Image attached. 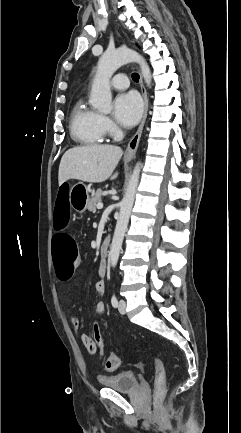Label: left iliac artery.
Masks as SVG:
<instances>
[{
  "instance_id": "1",
  "label": "left iliac artery",
  "mask_w": 241,
  "mask_h": 433,
  "mask_svg": "<svg viewBox=\"0 0 241 433\" xmlns=\"http://www.w3.org/2000/svg\"><path fill=\"white\" fill-rule=\"evenodd\" d=\"M111 304L115 308L118 306V301H117V298L114 294L112 295V298H111Z\"/></svg>"
}]
</instances>
